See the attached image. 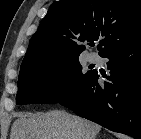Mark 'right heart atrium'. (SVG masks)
<instances>
[{"mask_svg": "<svg viewBox=\"0 0 141 139\" xmlns=\"http://www.w3.org/2000/svg\"><path fill=\"white\" fill-rule=\"evenodd\" d=\"M67 79V72L61 68H53L48 73V80L53 88L63 87L66 84Z\"/></svg>", "mask_w": 141, "mask_h": 139, "instance_id": "right-heart-atrium-1", "label": "right heart atrium"}]
</instances>
